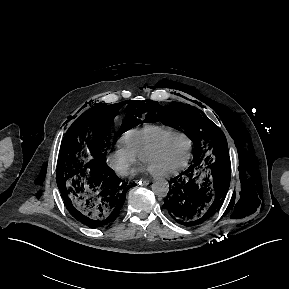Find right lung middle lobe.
Here are the masks:
<instances>
[{
  "instance_id": "obj_1",
  "label": "right lung middle lobe",
  "mask_w": 289,
  "mask_h": 289,
  "mask_svg": "<svg viewBox=\"0 0 289 289\" xmlns=\"http://www.w3.org/2000/svg\"><path fill=\"white\" fill-rule=\"evenodd\" d=\"M125 104L127 106L124 121L118 132L114 133L117 137L140 124L141 121L136 118L141 111L140 101L128 100L112 105H96L79 116L70 126L59 152L56 175L59 189L68 185L82 169L105 162L106 154L103 153V148L106 147V141L110 136V124Z\"/></svg>"
}]
</instances>
